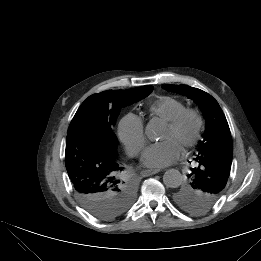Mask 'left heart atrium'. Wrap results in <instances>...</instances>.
<instances>
[{"label": "left heart atrium", "instance_id": "1", "mask_svg": "<svg viewBox=\"0 0 261 261\" xmlns=\"http://www.w3.org/2000/svg\"><path fill=\"white\" fill-rule=\"evenodd\" d=\"M181 152L182 146L174 138H166L148 146L143 153L142 162L151 168L166 167L176 161Z\"/></svg>", "mask_w": 261, "mask_h": 261}]
</instances>
